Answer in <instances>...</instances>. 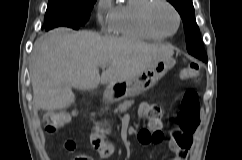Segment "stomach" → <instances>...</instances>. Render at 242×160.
Wrapping results in <instances>:
<instances>
[{"label":"stomach","instance_id":"1","mask_svg":"<svg viewBox=\"0 0 242 160\" xmlns=\"http://www.w3.org/2000/svg\"><path fill=\"white\" fill-rule=\"evenodd\" d=\"M175 64L176 61L172 58L156 61L133 79L115 83L112 88L123 96L137 95L154 87Z\"/></svg>","mask_w":242,"mask_h":160}]
</instances>
